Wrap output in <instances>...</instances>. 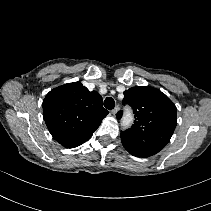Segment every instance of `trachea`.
Masks as SVG:
<instances>
[{"mask_svg":"<svg viewBox=\"0 0 211 211\" xmlns=\"http://www.w3.org/2000/svg\"><path fill=\"white\" fill-rule=\"evenodd\" d=\"M104 106L108 110H112L115 107V101L111 97H107L104 101Z\"/></svg>","mask_w":211,"mask_h":211,"instance_id":"obj_1","label":"trachea"}]
</instances>
